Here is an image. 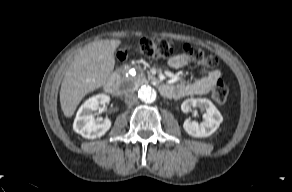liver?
<instances>
[{
	"mask_svg": "<svg viewBox=\"0 0 292 192\" xmlns=\"http://www.w3.org/2000/svg\"><path fill=\"white\" fill-rule=\"evenodd\" d=\"M120 40H100L86 45L70 64L60 89L64 115L72 117L88 93L104 86L115 66L114 51Z\"/></svg>",
	"mask_w": 292,
	"mask_h": 192,
	"instance_id": "1",
	"label": "liver"
}]
</instances>
